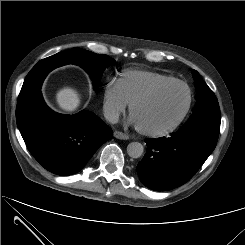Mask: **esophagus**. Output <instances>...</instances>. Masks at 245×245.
<instances>
[{
  "label": "esophagus",
  "mask_w": 245,
  "mask_h": 245,
  "mask_svg": "<svg viewBox=\"0 0 245 245\" xmlns=\"http://www.w3.org/2000/svg\"><path fill=\"white\" fill-rule=\"evenodd\" d=\"M114 137L115 138H118V139H122V140H127L129 139V136L123 132H120V131H115L113 133Z\"/></svg>",
  "instance_id": "1"
}]
</instances>
